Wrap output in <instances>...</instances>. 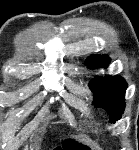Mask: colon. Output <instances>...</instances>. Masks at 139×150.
<instances>
[{"instance_id": "1", "label": "colon", "mask_w": 139, "mask_h": 150, "mask_svg": "<svg viewBox=\"0 0 139 150\" xmlns=\"http://www.w3.org/2000/svg\"><path fill=\"white\" fill-rule=\"evenodd\" d=\"M54 150H88L84 147H79L78 144L72 141H66L62 146L56 147Z\"/></svg>"}]
</instances>
